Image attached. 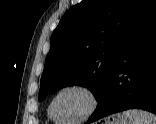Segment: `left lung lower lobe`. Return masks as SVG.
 Listing matches in <instances>:
<instances>
[{
    "label": "left lung lower lobe",
    "mask_w": 156,
    "mask_h": 124,
    "mask_svg": "<svg viewBox=\"0 0 156 124\" xmlns=\"http://www.w3.org/2000/svg\"><path fill=\"white\" fill-rule=\"evenodd\" d=\"M133 108L156 114V7L124 48L88 123Z\"/></svg>",
    "instance_id": "left-lung-lower-lobe-1"
}]
</instances>
